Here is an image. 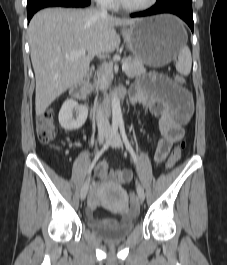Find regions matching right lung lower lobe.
<instances>
[{
  "label": "right lung lower lobe",
  "instance_id": "obj_1",
  "mask_svg": "<svg viewBox=\"0 0 227 265\" xmlns=\"http://www.w3.org/2000/svg\"><path fill=\"white\" fill-rule=\"evenodd\" d=\"M90 4V0H36L27 4L28 22L38 10L46 7H86Z\"/></svg>",
  "mask_w": 227,
  "mask_h": 265
}]
</instances>
